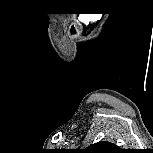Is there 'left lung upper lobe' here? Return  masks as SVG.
<instances>
[{
  "mask_svg": "<svg viewBox=\"0 0 153 153\" xmlns=\"http://www.w3.org/2000/svg\"><path fill=\"white\" fill-rule=\"evenodd\" d=\"M87 149L91 152L102 153L105 151L116 150V146L108 142H98Z\"/></svg>",
  "mask_w": 153,
  "mask_h": 153,
  "instance_id": "1",
  "label": "left lung upper lobe"
}]
</instances>
